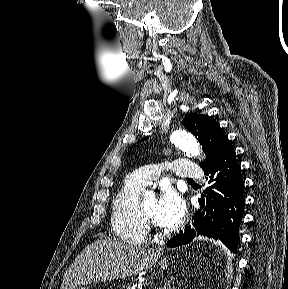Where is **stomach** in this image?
Returning <instances> with one entry per match:
<instances>
[{
    "mask_svg": "<svg viewBox=\"0 0 288 289\" xmlns=\"http://www.w3.org/2000/svg\"><path fill=\"white\" fill-rule=\"evenodd\" d=\"M169 260H170L169 258L164 257L158 262V265H159L161 270H165L168 268V266L170 264ZM76 289H89V287L86 285H81V286L77 287Z\"/></svg>",
    "mask_w": 288,
    "mask_h": 289,
    "instance_id": "obj_1",
    "label": "stomach"
}]
</instances>
